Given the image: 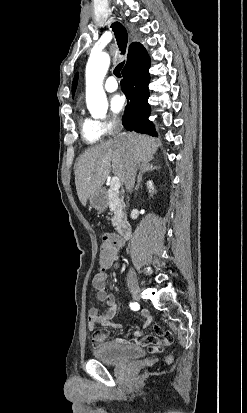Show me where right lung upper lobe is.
Here are the masks:
<instances>
[{"label":"right lung upper lobe","mask_w":247,"mask_h":413,"mask_svg":"<svg viewBox=\"0 0 247 413\" xmlns=\"http://www.w3.org/2000/svg\"><path fill=\"white\" fill-rule=\"evenodd\" d=\"M150 66V59L146 49L140 43H132L129 47L127 63L122 70V75H136Z\"/></svg>","instance_id":"cb5924a9"}]
</instances>
